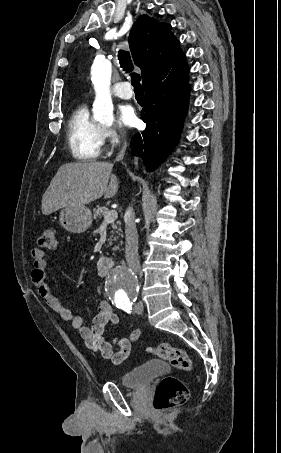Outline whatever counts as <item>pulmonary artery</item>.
<instances>
[{
    "mask_svg": "<svg viewBox=\"0 0 281 453\" xmlns=\"http://www.w3.org/2000/svg\"><path fill=\"white\" fill-rule=\"evenodd\" d=\"M111 93L123 99H129L133 96V92L130 90V85L128 82L116 83L113 86Z\"/></svg>",
    "mask_w": 281,
    "mask_h": 453,
    "instance_id": "e3ab8cb5",
    "label": "pulmonary artery"
}]
</instances>
